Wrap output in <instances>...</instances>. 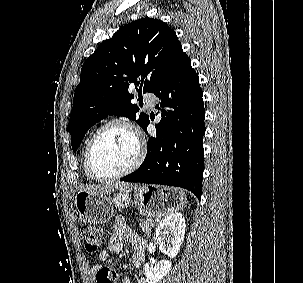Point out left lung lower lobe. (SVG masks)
<instances>
[{
  "instance_id": "0a47b994",
  "label": "left lung lower lobe",
  "mask_w": 303,
  "mask_h": 283,
  "mask_svg": "<svg viewBox=\"0 0 303 283\" xmlns=\"http://www.w3.org/2000/svg\"><path fill=\"white\" fill-rule=\"evenodd\" d=\"M152 93L160 99L162 108L156 137L149 138L147 155L139 169L121 181L178 186L201 199L205 134L203 92L190 58L184 52ZM148 124L149 119L142 127L145 131Z\"/></svg>"
}]
</instances>
